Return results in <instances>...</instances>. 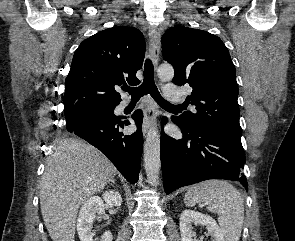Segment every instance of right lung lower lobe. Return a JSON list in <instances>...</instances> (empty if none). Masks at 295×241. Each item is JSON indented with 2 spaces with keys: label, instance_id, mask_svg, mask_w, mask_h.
<instances>
[{
  "label": "right lung lower lobe",
  "instance_id": "1",
  "mask_svg": "<svg viewBox=\"0 0 295 241\" xmlns=\"http://www.w3.org/2000/svg\"><path fill=\"white\" fill-rule=\"evenodd\" d=\"M137 124V131L131 135L122 132L130 122L114 114H90L66 121L67 131L83 138L105 154L120 173L132 184L139 177L143 149L141 131L143 113L135 111L131 116Z\"/></svg>",
  "mask_w": 295,
  "mask_h": 241
}]
</instances>
